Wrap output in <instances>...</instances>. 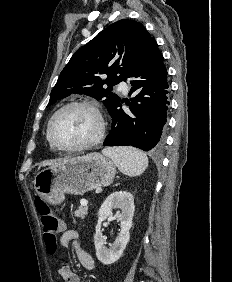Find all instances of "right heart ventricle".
<instances>
[{"instance_id": "obj_1", "label": "right heart ventricle", "mask_w": 232, "mask_h": 282, "mask_svg": "<svg viewBox=\"0 0 232 282\" xmlns=\"http://www.w3.org/2000/svg\"><path fill=\"white\" fill-rule=\"evenodd\" d=\"M46 139H47V142H48V145H49V149L51 150V151H56V149L52 146V144L49 142V140H48V137H47V133H46Z\"/></svg>"}]
</instances>
